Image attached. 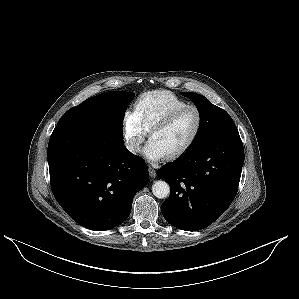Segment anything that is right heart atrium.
I'll return each mask as SVG.
<instances>
[{"label": "right heart atrium", "mask_w": 299, "mask_h": 299, "mask_svg": "<svg viewBox=\"0 0 299 299\" xmlns=\"http://www.w3.org/2000/svg\"><path fill=\"white\" fill-rule=\"evenodd\" d=\"M122 131L126 148L130 153L137 154L145 140L148 129L135 111L127 110L124 113Z\"/></svg>", "instance_id": "1"}]
</instances>
